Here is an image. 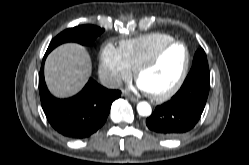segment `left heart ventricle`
Returning <instances> with one entry per match:
<instances>
[{
  "label": "left heart ventricle",
  "mask_w": 249,
  "mask_h": 165,
  "mask_svg": "<svg viewBox=\"0 0 249 165\" xmlns=\"http://www.w3.org/2000/svg\"><path fill=\"white\" fill-rule=\"evenodd\" d=\"M186 51L182 45L168 48L162 57L143 71L138 82L147 92L161 93L172 87L179 77L185 62Z\"/></svg>",
  "instance_id": "obj_1"
}]
</instances>
